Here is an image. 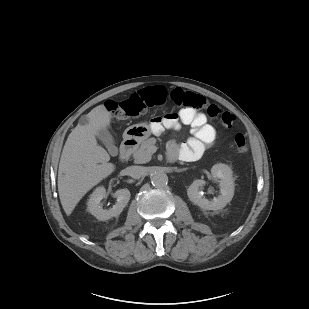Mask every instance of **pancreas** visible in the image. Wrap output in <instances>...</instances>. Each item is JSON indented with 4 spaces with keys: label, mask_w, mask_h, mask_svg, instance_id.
Masks as SVG:
<instances>
[{
    "label": "pancreas",
    "mask_w": 309,
    "mask_h": 309,
    "mask_svg": "<svg viewBox=\"0 0 309 309\" xmlns=\"http://www.w3.org/2000/svg\"><path fill=\"white\" fill-rule=\"evenodd\" d=\"M155 143L156 139L154 137L143 141L139 149L133 152L134 162L136 164L149 162L152 157L151 147H153Z\"/></svg>",
    "instance_id": "1"
}]
</instances>
